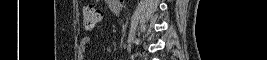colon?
<instances>
[{
  "label": "colon",
  "instance_id": "colon-1",
  "mask_svg": "<svg viewBox=\"0 0 267 60\" xmlns=\"http://www.w3.org/2000/svg\"><path fill=\"white\" fill-rule=\"evenodd\" d=\"M83 25L86 29H91L102 19V10L100 7L88 3L83 7Z\"/></svg>",
  "mask_w": 267,
  "mask_h": 60
}]
</instances>
